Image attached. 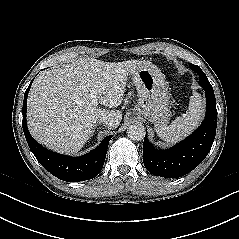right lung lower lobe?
<instances>
[{
    "label": "right lung lower lobe",
    "mask_w": 239,
    "mask_h": 239,
    "mask_svg": "<svg viewBox=\"0 0 239 239\" xmlns=\"http://www.w3.org/2000/svg\"><path fill=\"white\" fill-rule=\"evenodd\" d=\"M31 83L25 91L22 109L23 131L31 152L46 170L63 181L80 182L96 177L104 165L108 144L113 135L105 137L98 147L80 157H69L44 148L33 139L27 128L26 105Z\"/></svg>",
    "instance_id": "right-lung-lower-lobe-1"
}]
</instances>
